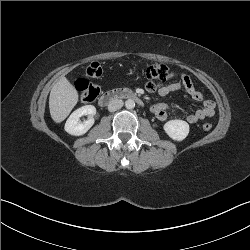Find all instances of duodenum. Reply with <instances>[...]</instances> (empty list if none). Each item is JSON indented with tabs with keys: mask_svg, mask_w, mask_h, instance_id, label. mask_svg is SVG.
Wrapping results in <instances>:
<instances>
[{
	"mask_svg": "<svg viewBox=\"0 0 250 250\" xmlns=\"http://www.w3.org/2000/svg\"><path fill=\"white\" fill-rule=\"evenodd\" d=\"M118 99H128L137 102L138 104H143L142 99L135 92L127 89H115L103 93L99 98L100 106H107L114 100Z\"/></svg>",
	"mask_w": 250,
	"mask_h": 250,
	"instance_id": "410a0bca",
	"label": "duodenum"
}]
</instances>
